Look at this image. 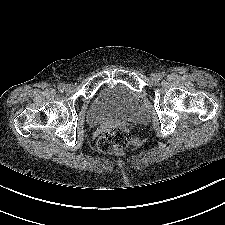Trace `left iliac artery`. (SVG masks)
<instances>
[{
  "instance_id": "44dca946",
  "label": "left iliac artery",
  "mask_w": 225,
  "mask_h": 225,
  "mask_svg": "<svg viewBox=\"0 0 225 225\" xmlns=\"http://www.w3.org/2000/svg\"><path fill=\"white\" fill-rule=\"evenodd\" d=\"M165 76V72H162L161 74H160V78H162V77H164Z\"/></svg>"
}]
</instances>
